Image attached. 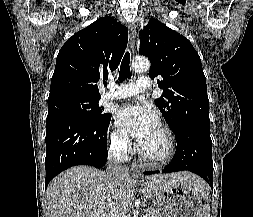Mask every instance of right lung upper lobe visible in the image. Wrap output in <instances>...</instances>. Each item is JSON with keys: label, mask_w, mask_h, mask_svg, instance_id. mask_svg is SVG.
Returning a JSON list of instances; mask_svg holds the SVG:
<instances>
[{"label": "right lung upper lobe", "mask_w": 253, "mask_h": 217, "mask_svg": "<svg viewBox=\"0 0 253 217\" xmlns=\"http://www.w3.org/2000/svg\"><path fill=\"white\" fill-rule=\"evenodd\" d=\"M127 40V28L109 16L70 37L58 53L48 102L67 97L101 98L97 82L106 81L108 72L118 67Z\"/></svg>", "instance_id": "1"}]
</instances>
